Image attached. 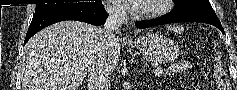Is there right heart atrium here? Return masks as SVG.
I'll use <instances>...</instances> for the list:
<instances>
[{
	"mask_svg": "<svg viewBox=\"0 0 237 90\" xmlns=\"http://www.w3.org/2000/svg\"><path fill=\"white\" fill-rule=\"evenodd\" d=\"M112 11H113L115 14H119V13L121 12L120 8H118V7L113 8Z\"/></svg>",
	"mask_w": 237,
	"mask_h": 90,
	"instance_id": "1",
	"label": "right heart atrium"
}]
</instances>
